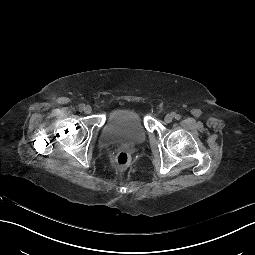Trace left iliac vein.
I'll return each instance as SVG.
<instances>
[{"instance_id":"left-iliac-vein-1","label":"left iliac vein","mask_w":255,"mask_h":255,"mask_svg":"<svg viewBox=\"0 0 255 255\" xmlns=\"http://www.w3.org/2000/svg\"><path fill=\"white\" fill-rule=\"evenodd\" d=\"M165 122L170 123L173 120L172 114H167L164 118Z\"/></svg>"}]
</instances>
